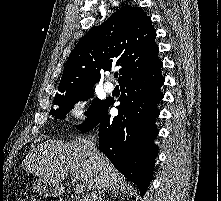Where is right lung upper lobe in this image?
<instances>
[{
	"label": "right lung upper lobe",
	"instance_id": "1",
	"mask_svg": "<svg viewBox=\"0 0 221 201\" xmlns=\"http://www.w3.org/2000/svg\"><path fill=\"white\" fill-rule=\"evenodd\" d=\"M156 32L139 7H122L103 24L93 27L72 50L64 69L58 95L92 89L102 71L120 66L119 83L143 73L157 63Z\"/></svg>",
	"mask_w": 221,
	"mask_h": 201
}]
</instances>
